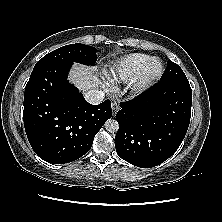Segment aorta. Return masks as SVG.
I'll use <instances>...</instances> for the list:
<instances>
[{
	"instance_id": "aorta-1",
	"label": "aorta",
	"mask_w": 222,
	"mask_h": 222,
	"mask_svg": "<svg viewBox=\"0 0 222 222\" xmlns=\"http://www.w3.org/2000/svg\"><path fill=\"white\" fill-rule=\"evenodd\" d=\"M105 129L110 133H115L119 129V124L115 119H109L105 123Z\"/></svg>"
}]
</instances>
